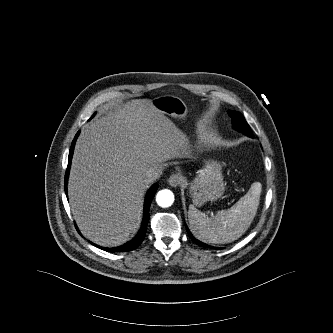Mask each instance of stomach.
<instances>
[{
  "instance_id": "1",
  "label": "stomach",
  "mask_w": 333,
  "mask_h": 333,
  "mask_svg": "<svg viewBox=\"0 0 333 333\" xmlns=\"http://www.w3.org/2000/svg\"><path fill=\"white\" fill-rule=\"evenodd\" d=\"M152 105L164 114L174 118H184L187 106L182 99L173 95H164L154 98ZM222 165L213 159L206 161L204 168L190 183V192L193 203L202 206L207 201H215L224 193Z\"/></svg>"
}]
</instances>
